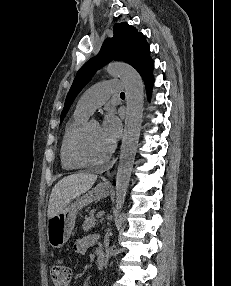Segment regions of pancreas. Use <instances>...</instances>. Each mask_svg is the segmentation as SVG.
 Segmentation results:
<instances>
[{
  "label": "pancreas",
  "mask_w": 231,
  "mask_h": 286,
  "mask_svg": "<svg viewBox=\"0 0 231 286\" xmlns=\"http://www.w3.org/2000/svg\"><path fill=\"white\" fill-rule=\"evenodd\" d=\"M95 225H96V219L94 212H90L89 216L85 217V221L83 223V230L88 231L89 229L95 227Z\"/></svg>",
  "instance_id": "cf45deb5"
}]
</instances>
